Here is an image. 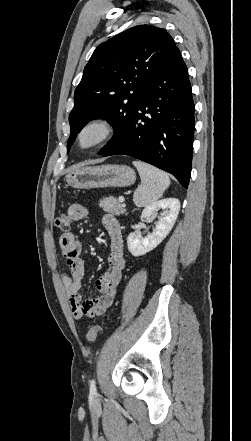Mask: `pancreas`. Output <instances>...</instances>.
Segmentation results:
<instances>
[{"label": "pancreas", "instance_id": "obj_1", "mask_svg": "<svg viewBox=\"0 0 251 441\" xmlns=\"http://www.w3.org/2000/svg\"><path fill=\"white\" fill-rule=\"evenodd\" d=\"M99 206L106 212L121 215L126 212L124 206L116 198L110 196L99 201Z\"/></svg>", "mask_w": 251, "mask_h": 441}]
</instances>
